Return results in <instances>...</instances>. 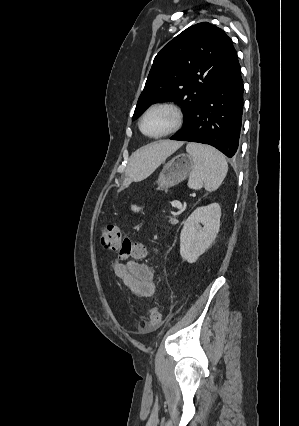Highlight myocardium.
I'll return each instance as SVG.
<instances>
[{
    "mask_svg": "<svg viewBox=\"0 0 299 426\" xmlns=\"http://www.w3.org/2000/svg\"><path fill=\"white\" fill-rule=\"evenodd\" d=\"M156 109H168V110H170L175 116V122H174V125L169 130L165 131L164 133H161V134H158V135H149V134L145 133V131L143 129V123H144L146 117L152 111H154ZM183 123H184V114H183L182 109L174 102L161 101V102H157V103L152 104L144 112V114L142 115L140 122H139V129H140L141 133L148 138L160 139V138L170 136V135L176 133L177 131H179L181 129Z\"/></svg>",
    "mask_w": 299,
    "mask_h": 426,
    "instance_id": "1",
    "label": "myocardium"
}]
</instances>
